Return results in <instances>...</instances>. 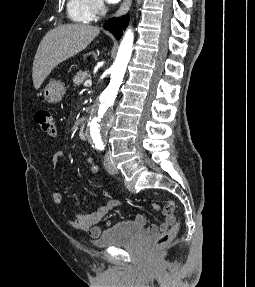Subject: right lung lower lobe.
<instances>
[{
	"mask_svg": "<svg viewBox=\"0 0 255 287\" xmlns=\"http://www.w3.org/2000/svg\"><path fill=\"white\" fill-rule=\"evenodd\" d=\"M128 17L123 16L121 18L115 19H109L105 24L104 28L110 32L113 33V35L116 37V39H120L122 35V31L126 28L128 24Z\"/></svg>",
	"mask_w": 255,
	"mask_h": 287,
	"instance_id": "1",
	"label": "right lung lower lobe"
}]
</instances>
